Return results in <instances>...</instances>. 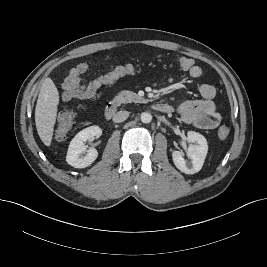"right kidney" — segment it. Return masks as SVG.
I'll list each match as a JSON object with an SVG mask.
<instances>
[{
  "label": "right kidney",
  "instance_id": "right-kidney-1",
  "mask_svg": "<svg viewBox=\"0 0 267 267\" xmlns=\"http://www.w3.org/2000/svg\"><path fill=\"white\" fill-rule=\"evenodd\" d=\"M102 130L98 126H90L79 133L70 142L66 161L74 168H85L91 165L98 157V152L95 148H89L87 150L85 142L87 140H93L95 137H100ZM85 156H81L85 153Z\"/></svg>",
  "mask_w": 267,
  "mask_h": 267
}]
</instances>
